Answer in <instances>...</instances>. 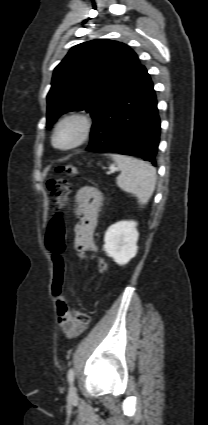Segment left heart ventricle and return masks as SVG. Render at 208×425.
Returning <instances> with one entry per match:
<instances>
[{
	"instance_id": "1",
	"label": "left heart ventricle",
	"mask_w": 208,
	"mask_h": 425,
	"mask_svg": "<svg viewBox=\"0 0 208 425\" xmlns=\"http://www.w3.org/2000/svg\"><path fill=\"white\" fill-rule=\"evenodd\" d=\"M74 132L73 128L64 129L59 135L58 142L60 144L68 143L73 138Z\"/></svg>"
}]
</instances>
